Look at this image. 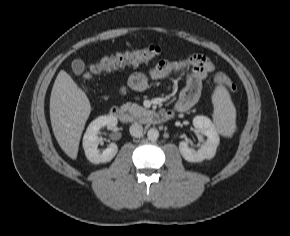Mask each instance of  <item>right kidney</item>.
Instances as JSON below:
<instances>
[{
    "label": "right kidney",
    "mask_w": 290,
    "mask_h": 236,
    "mask_svg": "<svg viewBox=\"0 0 290 236\" xmlns=\"http://www.w3.org/2000/svg\"><path fill=\"white\" fill-rule=\"evenodd\" d=\"M117 123L118 121L115 116L104 115L99 116L89 124L83 136V149L90 162L94 164L106 163L115 157L118 152V147L115 143H111L103 152L98 150V133L102 127L106 126L108 129H112Z\"/></svg>",
    "instance_id": "ca27d5eb"
}]
</instances>
